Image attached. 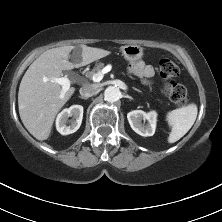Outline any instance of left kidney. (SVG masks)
Wrapping results in <instances>:
<instances>
[{"label": "left kidney", "instance_id": "left-kidney-1", "mask_svg": "<svg viewBox=\"0 0 222 222\" xmlns=\"http://www.w3.org/2000/svg\"><path fill=\"white\" fill-rule=\"evenodd\" d=\"M127 119L131 128L141 136H152L155 133L157 112L150 111L148 113L142 110H134L127 114ZM142 120H147L146 125L142 124Z\"/></svg>", "mask_w": 222, "mask_h": 222}]
</instances>
